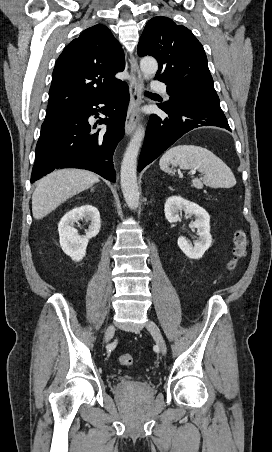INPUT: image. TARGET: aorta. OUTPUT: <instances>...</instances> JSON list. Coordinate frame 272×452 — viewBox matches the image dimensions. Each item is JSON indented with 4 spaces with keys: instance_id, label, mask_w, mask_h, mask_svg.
Returning a JSON list of instances; mask_svg holds the SVG:
<instances>
[{
    "instance_id": "1",
    "label": "aorta",
    "mask_w": 272,
    "mask_h": 452,
    "mask_svg": "<svg viewBox=\"0 0 272 452\" xmlns=\"http://www.w3.org/2000/svg\"><path fill=\"white\" fill-rule=\"evenodd\" d=\"M140 69L145 79L152 78L157 70L158 63L153 57H144L140 61ZM145 136L144 127L140 126L132 136L121 163V189L126 204L131 209L139 206V191L137 184V157Z\"/></svg>"
}]
</instances>
